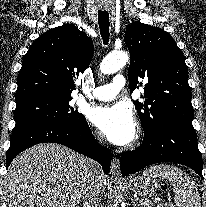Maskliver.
Here are the masks:
<instances>
[{
	"instance_id": "liver-1",
	"label": "liver",
	"mask_w": 206,
	"mask_h": 207,
	"mask_svg": "<svg viewBox=\"0 0 206 207\" xmlns=\"http://www.w3.org/2000/svg\"><path fill=\"white\" fill-rule=\"evenodd\" d=\"M86 157L59 144H38L11 163L5 176L9 207H78L89 185ZM107 179L102 175L100 191Z\"/></svg>"
}]
</instances>
